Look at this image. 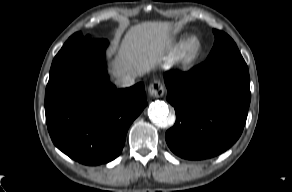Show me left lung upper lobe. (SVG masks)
<instances>
[{
  "label": "left lung upper lobe",
  "instance_id": "left-lung-upper-lobe-1",
  "mask_svg": "<svg viewBox=\"0 0 292 192\" xmlns=\"http://www.w3.org/2000/svg\"><path fill=\"white\" fill-rule=\"evenodd\" d=\"M215 34L214 47L206 61H211L220 57L233 56L242 57L237 45L230 36L219 30H213Z\"/></svg>",
  "mask_w": 292,
  "mask_h": 192
}]
</instances>
